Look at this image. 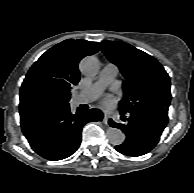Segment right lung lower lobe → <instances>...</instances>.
Wrapping results in <instances>:
<instances>
[{"label":"right lung lower lobe","instance_id":"obj_1","mask_svg":"<svg viewBox=\"0 0 194 193\" xmlns=\"http://www.w3.org/2000/svg\"><path fill=\"white\" fill-rule=\"evenodd\" d=\"M23 134L32 149L48 160L71 156L80 146L81 131L88 122L101 121L99 109L72 114L69 104L63 107L20 114Z\"/></svg>","mask_w":194,"mask_h":193}]
</instances>
